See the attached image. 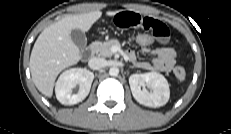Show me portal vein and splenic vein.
<instances>
[{"label":"portal vein and splenic vein","mask_w":231,"mask_h":134,"mask_svg":"<svg viewBox=\"0 0 231 134\" xmlns=\"http://www.w3.org/2000/svg\"><path fill=\"white\" fill-rule=\"evenodd\" d=\"M113 48H115V51H118V48H117V47L114 46Z\"/></svg>","instance_id":"18ae733b"}]
</instances>
